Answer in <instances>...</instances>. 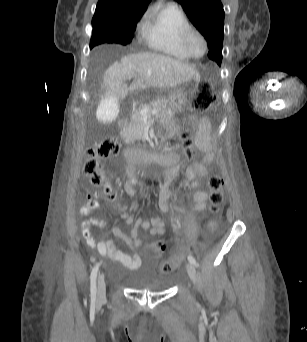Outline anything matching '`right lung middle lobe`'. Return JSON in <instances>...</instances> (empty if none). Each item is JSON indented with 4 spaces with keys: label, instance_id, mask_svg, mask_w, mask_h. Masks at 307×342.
I'll return each mask as SVG.
<instances>
[{
    "label": "right lung middle lobe",
    "instance_id": "obj_1",
    "mask_svg": "<svg viewBox=\"0 0 307 342\" xmlns=\"http://www.w3.org/2000/svg\"><path fill=\"white\" fill-rule=\"evenodd\" d=\"M132 38L133 32H112L93 28L90 48L106 42L127 45L131 42Z\"/></svg>",
    "mask_w": 307,
    "mask_h": 342
}]
</instances>
